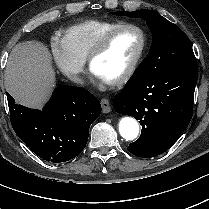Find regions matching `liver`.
<instances>
[{
    "instance_id": "1",
    "label": "liver",
    "mask_w": 209,
    "mask_h": 209,
    "mask_svg": "<svg viewBox=\"0 0 209 209\" xmlns=\"http://www.w3.org/2000/svg\"><path fill=\"white\" fill-rule=\"evenodd\" d=\"M55 84V72L48 49L40 42L17 44L5 71V87L18 103L40 108Z\"/></svg>"
}]
</instances>
